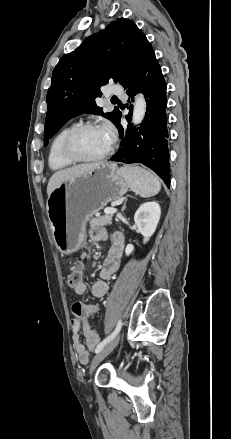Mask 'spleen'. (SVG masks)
I'll return each instance as SVG.
<instances>
[{
    "mask_svg": "<svg viewBox=\"0 0 231 439\" xmlns=\"http://www.w3.org/2000/svg\"><path fill=\"white\" fill-rule=\"evenodd\" d=\"M130 189L143 198L159 193L161 183L156 175L139 166H124L119 169Z\"/></svg>",
    "mask_w": 231,
    "mask_h": 439,
    "instance_id": "obj_1",
    "label": "spleen"
}]
</instances>
